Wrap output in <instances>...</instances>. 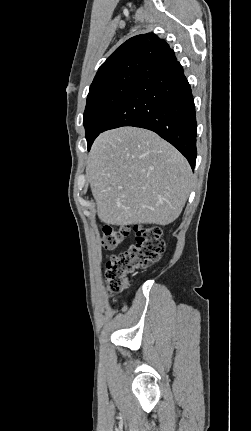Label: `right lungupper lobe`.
Listing matches in <instances>:
<instances>
[{"mask_svg": "<svg viewBox=\"0 0 251 431\" xmlns=\"http://www.w3.org/2000/svg\"><path fill=\"white\" fill-rule=\"evenodd\" d=\"M160 49L164 51L171 50L163 39L153 33L130 38L118 47L99 67L93 83L127 64L138 61L149 62L152 55Z\"/></svg>", "mask_w": 251, "mask_h": 431, "instance_id": "right-lung-upper-lobe-1", "label": "right lung upper lobe"}]
</instances>
